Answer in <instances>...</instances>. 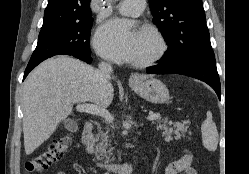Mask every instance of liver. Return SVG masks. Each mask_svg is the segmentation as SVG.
<instances>
[{"instance_id": "1", "label": "liver", "mask_w": 249, "mask_h": 174, "mask_svg": "<svg viewBox=\"0 0 249 174\" xmlns=\"http://www.w3.org/2000/svg\"><path fill=\"white\" fill-rule=\"evenodd\" d=\"M94 67L60 55L38 65L23 85V134L26 155L50 138L74 104L92 102L108 107L114 96L111 83L103 85Z\"/></svg>"}]
</instances>
